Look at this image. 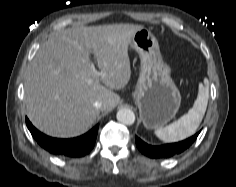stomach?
Wrapping results in <instances>:
<instances>
[{
	"instance_id": "0dacf381",
	"label": "stomach",
	"mask_w": 236,
	"mask_h": 187,
	"mask_svg": "<svg viewBox=\"0 0 236 187\" xmlns=\"http://www.w3.org/2000/svg\"><path fill=\"white\" fill-rule=\"evenodd\" d=\"M140 57L141 71L132 96L147 129L163 127L173 119L181 104V95L170 77L171 69L163 61L158 41L150 30L137 31L131 42Z\"/></svg>"
}]
</instances>
